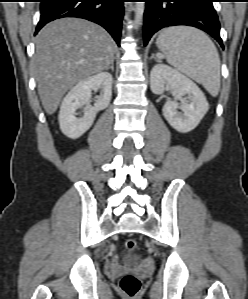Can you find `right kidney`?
<instances>
[{
  "label": "right kidney",
  "instance_id": "ca27d5eb",
  "mask_svg": "<svg viewBox=\"0 0 248 299\" xmlns=\"http://www.w3.org/2000/svg\"><path fill=\"white\" fill-rule=\"evenodd\" d=\"M113 78L110 73L99 72L78 82L65 96L59 112L60 129L71 139L82 136L93 124L97 112L108 107L112 96ZM92 90H101L94 106L88 105ZM86 105L84 115L77 117V109Z\"/></svg>",
  "mask_w": 248,
  "mask_h": 299
}]
</instances>
